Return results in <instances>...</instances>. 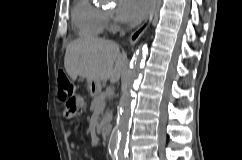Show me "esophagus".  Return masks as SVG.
<instances>
[{
  "mask_svg": "<svg viewBox=\"0 0 242 160\" xmlns=\"http://www.w3.org/2000/svg\"><path fill=\"white\" fill-rule=\"evenodd\" d=\"M157 2H158V0H153V6H152V9H151V12H150L149 16L145 19V21L143 22V24L141 26H139L130 35L129 44L131 46H133L139 40V38L142 36V34L145 32V30L149 26L150 22L152 21L153 16H154V13L156 11Z\"/></svg>",
  "mask_w": 242,
  "mask_h": 160,
  "instance_id": "obj_1",
  "label": "esophagus"
}]
</instances>
